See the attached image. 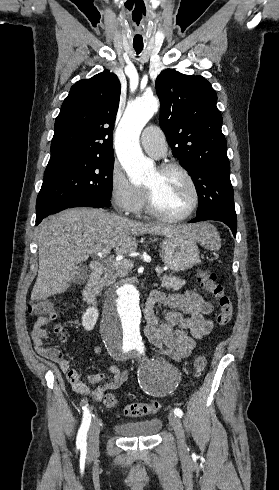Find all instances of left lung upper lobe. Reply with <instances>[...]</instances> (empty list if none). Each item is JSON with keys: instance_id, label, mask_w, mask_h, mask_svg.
<instances>
[{"instance_id": "left-lung-upper-lobe-1", "label": "left lung upper lobe", "mask_w": 279, "mask_h": 490, "mask_svg": "<svg viewBox=\"0 0 279 490\" xmlns=\"http://www.w3.org/2000/svg\"><path fill=\"white\" fill-rule=\"evenodd\" d=\"M156 91L161 103L160 126L197 190V216L216 212L236 217L215 90L202 76L167 69L157 77Z\"/></svg>"}]
</instances>
